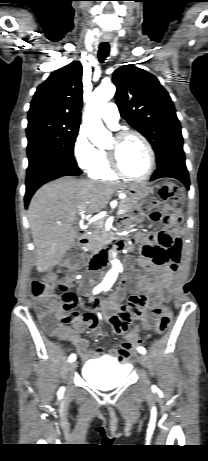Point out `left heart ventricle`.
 <instances>
[{
    "mask_svg": "<svg viewBox=\"0 0 208 461\" xmlns=\"http://www.w3.org/2000/svg\"><path fill=\"white\" fill-rule=\"evenodd\" d=\"M117 148L118 161L122 169L131 176L144 175L149 167V155L137 137H129L119 145L113 138L107 149Z\"/></svg>",
    "mask_w": 208,
    "mask_h": 461,
    "instance_id": "b2bd125f",
    "label": "left heart ventricle"
}]
</instances>
